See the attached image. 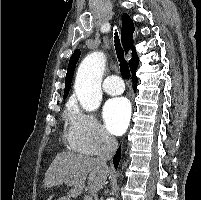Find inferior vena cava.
<instances>
[{"label": "inferior vena cava", "mask_w": 201, "mask_h": 200, "mask_svg": "<svg viewBox=\"0 0 201 200\" xmlns=\"http://www.w3.org/2000/svg\"><path fill=\"white\" fill-rule=\"evenodd\" d=\"M118 142L115 137L105 134L103 136L102 148L99 156L97 157V162L103 168H107L106 162L112 158L115 151L117 150Z\"/></svg>", "instance_id": "inferior-vena-cava-1"}]
</instances>
